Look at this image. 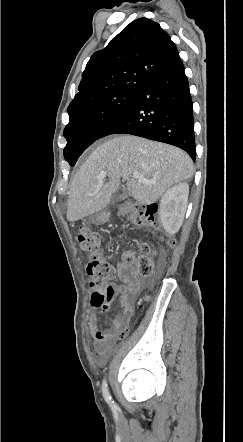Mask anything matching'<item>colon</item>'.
Here are the masks:
<instances>
[{"label": "colon", "instance_id": "1", "mask_svg": "<svg viewBox=\"0 0 243 442\" xmlns=\"http://www.w3.org/2000/svg\"><path fill=\"white\" fill-rule=\"evenodd\" d=\"M130 221L135 226L159 227L158 205L150 203L130 209ZM78 243L82 251L89 256L87 274L89 287L92 294V304L96 308L108 306L114 296V290L109 280L113 276V269L107 262L105 254L100 249V237L86 227H82L78 235ZM140 255L135 257L131 252H126L123 260L126 264H135L140 275L148 277L153 271L152 256L155 251L149 243H142ZM130 318V317H129ZM129 318L115 322L116 331L111 335H104L105 339L118 336L123 337L129 332Z\"/></svg>", "mask_w": 243, "mask_h": 442}]
</instances>
